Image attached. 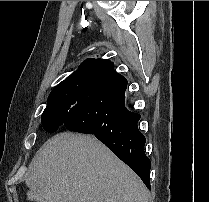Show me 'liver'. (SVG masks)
<instances>
[{
	"instance_id": "liver-1",
	"label": "liver",
	"mask_w": 209,
	"mask_h": 202,
	"mask_svg": "<svg viewBox=\"0 0 209 202\" xmlns=\"http://www.w3.org/2000/svg\"><path fill=\"white\" fill-rule=\"evenodd\" d=\"M27 199L36 202H148L137 175L89 135L48 139L29 165Z\"/></svg>"
}]
</instances>
